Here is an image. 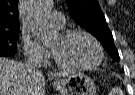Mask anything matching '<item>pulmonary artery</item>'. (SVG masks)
Wrapping results in <instances>:
<instances>
[{"label": "pulmonary artery", "mask_w": 135, "mask_h": 95, "mask_svg": "<svg viewBox=\"0 0 135 95\" xmlns=\"http://www.w3.org/2000/svg\"><path fill=\"white\" fill-rule=\"evenodd\" d=\"M51 23L58 28H63L65 25V17L61 12L53 11L51 14Z\"/></svg>", "instance_id": "1"}]
</instances>
